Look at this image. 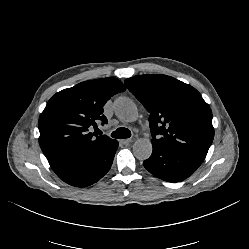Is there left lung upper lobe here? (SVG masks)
I'll return each instance as SVG.
<instances>
[{
    "instance_id": "left-lung-upper-lobe-1",
    "label": "left lung upper lobe",
    "mask_w": 249,
    "mask_h": 249,
    "mask_svg": "<svg viewBox=\"0 0 249 249\" xmlns=\"http://www.w3.org/2000/svg\"><path fill=\"white\" fill-rule=\"evenodd\" d=\"M125 85L150 113L155 143L205 158L214 138L212 111L195 88L167 75L134 76Z\"/></svg>"
}]
</instances>
